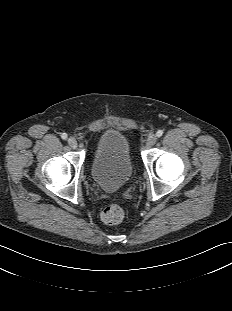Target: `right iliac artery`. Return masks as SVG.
Instances as JSON below:
<instances>
[{
  "label": "right iliac artery",
  "mask_w": 232,
  "mask_h": 311,
  "mask_svg": "<svg viewBox=\"0 0 232 311\" xmlns=\"http://www.w3.org/2000/svg\"><path fill=\"white\" fill-rule=\"evenodd\" d=\"M67 137H68V136H67V134H66V133H62V135H61V138H62V139L66 140V139H67Z\"/></svg>",
  "instance_id": "obj_1"
}]
</instances>
